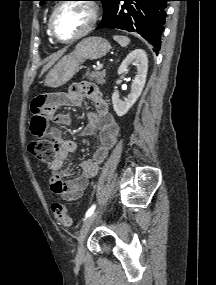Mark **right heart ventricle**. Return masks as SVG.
<instances>
[{"mask_svg": "<svg viewBox=\"0 0 216 285\" xmlns=\"http://www.w3.org/2000/svg\"><path fill=\"white\" fill-rule=\"evenodd\" d=\"M47 33H48V36L50 37V40H51V36H50V34H49V30H47ZM52 41V40H51Z\"/></svg>", "mask_w": 216, "mask_h": 285, "instance_id": "e07e8e85", "label": "right heart ventricle"}]
</instances>
